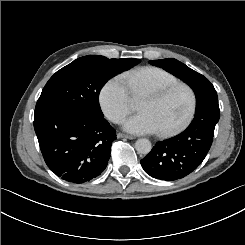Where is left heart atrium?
<instances>
[{"label":"left heart atrium","mask_w":245,"mask_h":245,"mask_svg":"<svg viewBox=\"0 0 245 245\" xmlns=\"http://www.w3.org/2000/svg\"><path fill=\"white\" fill-rule=\"evenodd\" d=\"M124 128L129 132L138 134L156 133L159 131L157 123L148 112L144 111L125 120Z\"/></svg>","instance_id":"left-heart-atrium-1"}]
</instances>
